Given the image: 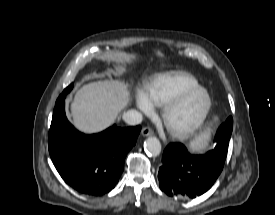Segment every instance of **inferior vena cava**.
Listing matches in <instances>:
<instances>
[{
  "label": "inferior vena cava",
  "mask_w": 275,
  "mask_h": 215,
  "mask_svg": "<svg viewBox=\"0 0 275 215\" xmlns=\"http://www.w3.org/2000/svg\"><path fill=\"white\" fill-rule=\"evenodd\" d=\"M142 114L137 110H129L123 115V120L129 125H137L142 122Z\"/></svg>",
  "instance_id": "inferior-vena-cava-1"
}]
</instances>
